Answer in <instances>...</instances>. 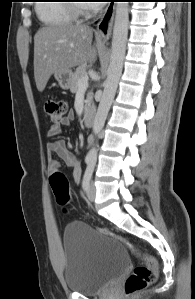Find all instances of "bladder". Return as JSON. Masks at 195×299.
<instances>
[{
  "label": "bladder",
  "mask_w": 195,
  "mask_h": 299,
  "mask_svg": "<svg viewBox=\"0 0 195 299\" xmlns=\"http://www.w3.org/2000/svg\"><path fill=\"white\" fill-rule=\"evenodd\" d=\"M64 279L68 290L92 295L129 265L124 245L88 224L73 222L64 229Z\"/></svg>",
  "instance_id": "1"
}]
</instances>
